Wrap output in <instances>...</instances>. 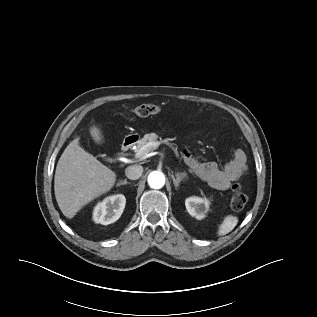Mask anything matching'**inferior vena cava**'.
Instances as JSON below:
<instances>
[{
  "mask_svg": "<svg viewBox=\"0 0 317 317\" xmlns=\"http://www.w3.org/2000/svg\"><path fill=\"white\" fill-rule=\"evenodd\" d=\"M143 173V167L141 165H131L125 169V174L130 180H137Z\"/></svg>",
  "mask_w": 317,
  "mask_h": 317,
  "instance_id": "1",
  "label": "inferior vena cava"
}]
</instances>
